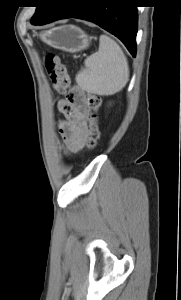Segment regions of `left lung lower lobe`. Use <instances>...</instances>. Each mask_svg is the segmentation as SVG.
I'll list each match as a JSON object with an SVG mask.
<instances>
[{
  "label": "left lung lower lobe",
  "mask_w": 181,
  "mask_h": 300,
  "mask_svg": "<svg viewBox=\"0 0 181 300\" xmlns=\"http://www.w3.org/2000/svg\"><path fill=\"white\" fill-rule=\"evenodd\" d=\"M134 0H56L49 15L39 25L65 18L93 22L118 37L136 54L137 5Z\"/></svg>",
  "instance_id": "1"
}]
</instances>
